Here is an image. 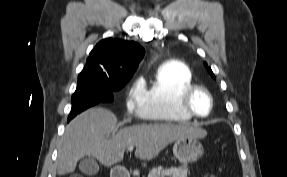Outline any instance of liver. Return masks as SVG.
<instances>
[{"label":"liver","instance_id":"liver-1","mask_svg":"<svg viewBox=\"0 0 287 177\" xmlns=\"http://www.w3.org/2000/svg\"><path fill=\"white\" fill-rule=\"evenodd\" d=\"M117 130V117L104 108H92L76 116L67 126L58 149L57 173L76 169L85 155L97 158L104 166L121 162L127 147L135 146V156L151 160L179 138H204L207 132L189 124H137Z\"/></svg>","mask_w":287,"mask_h":177}]
</instances>
